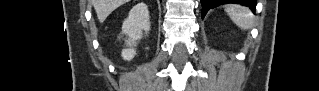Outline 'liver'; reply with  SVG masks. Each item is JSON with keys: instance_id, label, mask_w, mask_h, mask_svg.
I'll use <instances>...</instances> for the list:
<instances>
[{"instance_id": "6515ba94", "label": "liver", "mask_w": 319, "mask_h": 91, "mask_svg": "<svg viewBox=\"0 0 319 91\" xmlns=\"http://www.w3.org/2000/svg\"><path fill=\"white\" fill-rule=\"evenodd\" d=\"M97 17L103 22L116 8L128 2V0H91Z\"/></svg>"}]
</instances>
